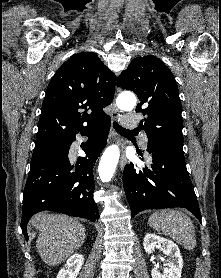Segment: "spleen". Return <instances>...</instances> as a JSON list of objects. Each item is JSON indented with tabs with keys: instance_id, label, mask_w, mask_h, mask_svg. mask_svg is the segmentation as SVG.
<instances>
[{
	"instance_id": "obj_1",
	"label": "spleen",
	"mask_w": 221,
	"mask_h": 278,
	"mask_svg": "<svg viewBox=\"0 0 221 278\" xmlns=\"http://www.w3.org/2000/svg\"><path fill=\"white\" fill-rule=\"evenodd\" d=\"M149 225L164 235L171 237L185 249L196 246L195 229L191 219L175 209H163L154 212L148 219Z\"/></svg>"
}]
</instances>
